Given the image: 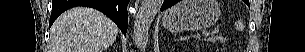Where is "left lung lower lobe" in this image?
<instances>
[{"label": "left lung lower lobe", "mask_w": 305, "mask_h": 52, "mask_svg": "<svg viewBox=\"0 0 305 52\" xmlns=\"http://www.w3.org/2000/svg\"><path fill=\"white\" fill-rule=\"evenodd\" d=\"M179 0H164L162 6H161V11H164L165 9L171 7L175 3H177Z\"/></svg>", "instance_id": "left-lung-lower-lobe-1"}]
</instances>
